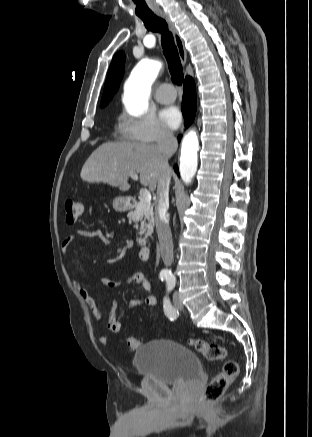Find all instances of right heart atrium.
<instances>
[{
  "mask_svg": "<svg viewBox=\"0 0 312 437\" xmlns=\"http://www.w3.org/2000/svg\"><path fill=\"white\" fill-rule=\"evenodd\" d=\"M117 134L124 141L148 144L172 140V133L153 113L131 116L126 112L118 118Z\"/></svg>",
  "mask_w": 312,
  "mask_h": 437,
  "instance_id": "d8ad5b80",
  "label": "right heart atrium"
}]
</instances>
